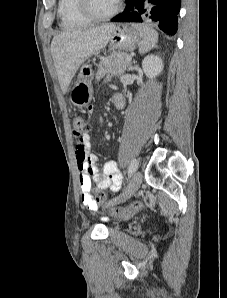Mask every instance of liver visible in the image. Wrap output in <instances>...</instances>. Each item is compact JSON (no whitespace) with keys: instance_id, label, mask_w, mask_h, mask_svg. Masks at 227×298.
<instances>
[{"instance_id":"obj_1","label":"liver","mask_w":227,"mask_h":298,"mask_svg":"<svg viewBox=\"0 0 227 298\" xmlns=\"http://www.w3.org/2000/svg\"><path fill=\"white\" fill-rule=\"evenodd\" d=\"M114 24L67 31L54 36L51 53L61 90L65 94L79 67L110 41Z\"/></svg>"}]
</instances>
